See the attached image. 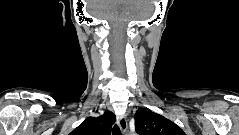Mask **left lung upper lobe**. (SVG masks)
I'll return each instance as SVG.
<instances>
[{"mask_svg": "<svg viewBox=\"0 0 239 135\" xmlns=\"http://www.w3.org/2000/svg\"><path fill=\"white\" fill-rule=\"evenodd\" d=\"M134 118L139 135H186L174 122L152 111L139 110Z\"/></svg>", "mask_w": 239, "mask_h": 135, "instance_id": "1", "label": "left lung upper lobe"}]
</instances>
